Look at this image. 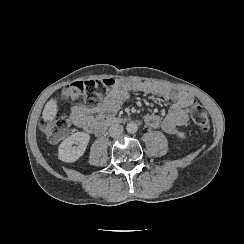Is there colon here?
<instances>
[{
    "label": "colon",
    "mask_w": 244,
    "mask_h": 244,
    "mask_svg": "<svg viewBox=\"0 0 244 244\" xmlns=\"http://www.w3.org/2000/svg\"><path fill=\"white\" fill-rule=\"evenodd\" d=\"M86 83L87 82H76L67 85L64 88V92L74 101H82L84 100V97L81 93V87H83ZM114 83L115 80L113 78H105L92 82L85 89L86 102L88 104L96 103L100 99V94H103L104 90L113 86ZM190 118L192 124L198 129L206 130L209 128L210 121L208 113L199 102L192 104ZM40 128L48 141L56 142L69 134L70 122L67 115L54 112L42 118Z\"/></svg>",
    "instance_id": "5ec220e1"
}]
</instances>
